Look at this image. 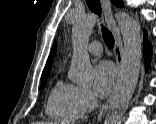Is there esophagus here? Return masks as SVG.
Listing matches in <instances>:
<instances>
[{
    "label": "esophagus",
    "mask_w": 156,
    "mask_h": 124,
    "mask_svg": "<svg viewBox=\"0 0 156 124\" xmlns=\"http://www.w3.org/2000/svg\"><path fill=\"white\" fill-rule=\"evenodd\" d=\"M101 2H102V6L104 9V13H105V22L108 28L110 29V31L112 32L113 37L115 39L114 54H115L116 65L118 68V76H117L111 95L109 96L108 100L105 102V104L101 107L99 111L97 122H100L104 118L106 112L110 108V105L113 101L115 93L119 87V83H120V79H121V76L123 73V67H124L123 42H122L120 31L116 26L111 4L108 0H101Z\"/></svg>",
    "instance_id": "1"
}]
</instances>
